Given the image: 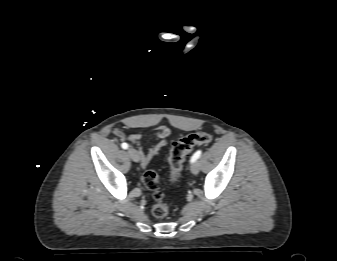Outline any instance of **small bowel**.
Segmentation results:
<instances>
[{"mask_svg":"<svg viewBox=\"0 0 337 261\" xmlns=\"http://www.w3.org/2000/svg\"><path fill=\"white\" fill-rule=\"evenodd\" d=\"M114 134L120 140L125 139V135L120 130H115ZM169 135L170 130L168 127L159 126L153 135L154 138L158 140V142L152 145L147 151H144L141 146V135L139 133H134L129 136V140L138 147L137 152L140 156V162L142 166H147L155 157L159 155L161 149L167 145Z\"/></svg>","mask_w":337,"mask_h":261,"instance_id":"obj_1","label":"small bowel"}]
</instances>
